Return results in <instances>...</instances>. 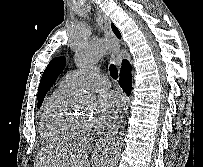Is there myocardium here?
<instances>
[{"label":"myocardium","mask_w":203,"mask_h":167,"mask_svg":"<svg viewBox=\"0 0 203 167\" xmlns=\"http://www.w3.org/2000/svg\"><path fill=\"white\" fill-rule=\"evenodd\" d=\"M75 123H76L78 129L80 130V132L88 129L91 125L90 120L85 117H76L75 116Z\"/></svg>","instance_id":"obj_1"}]
</instances>
